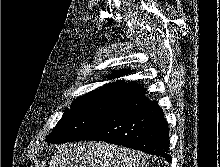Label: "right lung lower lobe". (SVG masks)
<instances>
[{
	"mask_svg": "<svg viewBox=\"0 0 220 167\" xmlns=\"http://www.w3.org/2000/svg\"><path fill=\"white\" fill-rule=\"evenodd\" d=\"M143 88L115 99L101 122L82 140H97L161 156L171 162L168 125Z\"/></svg>",
	"mask_w": 220,
	"mask_h": 167,
	"instance_id": "obj_1",
	"label": "right lung lower lobe"
}]
</instances>
